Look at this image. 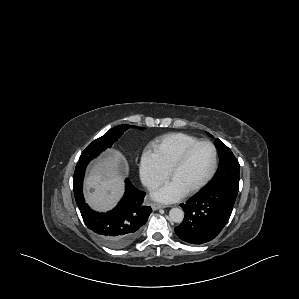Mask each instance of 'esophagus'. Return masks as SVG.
Returning a JSON list of instances; mask_svg holds the SVG:
<instances>
[{
  "instance_id": "34e87169",
  "label": "esophagus",
  "mask_w": 299,
  "mask_h": 299,
  "mask_svg": "<svg viewBox=\"0 0 299 299\" xmlns=\"http://www.w3.org/2000/svg\"><path fill=\"white\" fill-rule=\"evenodd\" d=\"M151 207H152L153 210H158L160 208H165L166 206H164L162 204H159V203H152Z\"/></svg>"
}]
</instances>
